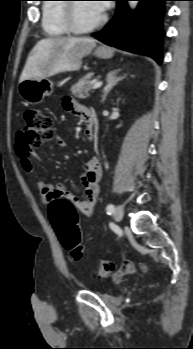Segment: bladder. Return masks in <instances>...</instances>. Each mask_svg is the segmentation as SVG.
I'll list each match as a JSON object with an SVG mask.
<instances>
[{"instance_id":"bladder-1","label":"bladder","mask_w":193,"mask_h":349,"mask_svg":"<svg viewBox=\"0 0 193 349\" xmlns=\"http://www.w3.org/2000/svg\"><path fill=\"white\" fill-rule=\"evenodd\" d=\"M107 297V294H104L103 296H102V298H106Z\"/></svg>"}]
</instances>
